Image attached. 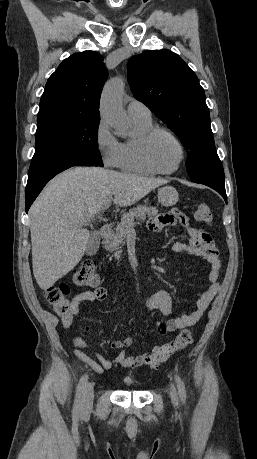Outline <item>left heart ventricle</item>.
<instances>
[{"instance_id":"left-heart-ventricle-1","label":"left heart ventricle","mask_w":257,"mask_h":459,"mask_svg":"<svg viewBox=\"0 0 257 459\" xmlns=\"http://www.w3.org/2000/svg\"><path fill=\"white\" fill-rule=\"evenodd\" d=\"M151 154L155 164L163 170L175 168L180 159V150L177 144L166 134H158L154 138Z\"/></svg>"}]
</instances>
